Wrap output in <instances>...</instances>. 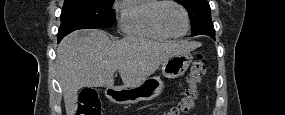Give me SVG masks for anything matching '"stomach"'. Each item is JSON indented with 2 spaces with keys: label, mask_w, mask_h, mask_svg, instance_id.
Masks as SVG:
<instances>
[{
  "label": "stomach",
  "mask_w": 285,
  "mask_h": 115,
  "mask_svg": "<svg viewBox=\"0 0 285 115\" xmlns=\"http://www.w3.org/2000/svg\"><path fill=\"white\" fill-rule=\"evenodd\" d=\"M191 61L190 53L173 55L164 60L162 73L169 79L180 77L187 71ZM163 89L164 83L161 79L152 77L132 86H109L105 90V95L113 103L128 105L157 98Z\"/></svg>",
  "instance_id": "1"
}]
</instances>
